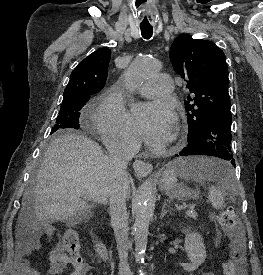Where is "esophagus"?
Masks as SVG:
<instances>
[{"mask_svg": "<svg viewBox=\"0 0 263 275\" xmlns=\"http://www.w3.org/2000/svg\"><path fill=\"white\" fill-rule=\"evenodd\" d=\"M133 169L137 176L144 177L152 171V165L149 162L137 159L133 163Z\"/></svg>", "mask_w": 263, "mask_h": 275, "instance_id": "esophagus-1", "label": "esophagus"}]
</instances>
